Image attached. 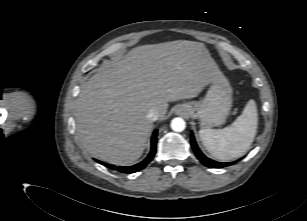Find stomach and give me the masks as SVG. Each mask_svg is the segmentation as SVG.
Returning <instances> with one entry per match:
<instances>
[{"label": "stomach", "instance_id": "stomach-1", "mask_svg": "<svg viewBox=\"0 0 307 221\" xmlns=\"http://www.w3.org/2000/svg\"><path fill=\"white\" fill-rule=\"evenodd\" d=\"M233 91L229 81L222 75L215 77L207 93L200 101L186 102L178 106L176 112L199 119L203 128L222 125L230 113Z\"/></svg>", "mask_w": 307, "mask_h": 221}]
</instances>
